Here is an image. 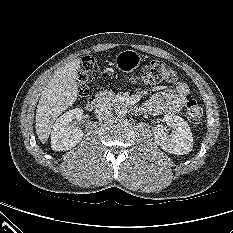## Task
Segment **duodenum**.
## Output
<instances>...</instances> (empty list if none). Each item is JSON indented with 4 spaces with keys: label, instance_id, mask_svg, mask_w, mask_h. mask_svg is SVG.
Returning a JSON list of instances; mask_svg holds the SVG:
<instances>
[{
    "label": "duodenum",
    "instance_id": "duodenum-1",
    "mask_svg": "<svg viewBox=\"0 0 233 233\" xmlns=\"http://www.w3.org/2000/svg\"><path fill=\"white\" fill-rule=\"evenodd\" d=\"M121 103L123 105L127 106L128 108H130L134 113H142L143 112L142 107L138 106L137 104H135L134 102H132L130 100L123 99V100H121ZM99 105H100L99 97L96 95H93L87 100L86 108L89 111H94L99 107Z\"/></svg>",
    "mask_w": 233,
    "mask_h": 233
}]
</instances>
